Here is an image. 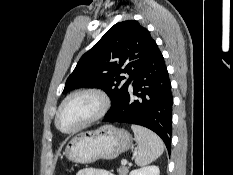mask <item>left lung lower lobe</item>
I'll return each instance as SVG.
<instances>
[{
    "label": "left lung lower lobe",
    "mask_w": 233,
    "mask_h": 175,
    "mask_svg": "<svg viewBox=\"0 0 233 175\" xmlns=\"http://www.w3.org/2000/svg\"><path fill=\"white\" fill-rule=\"evenodd\" d=\"M133 95L138 98L135 99ZM171 82L162 53L156 46L136 73L120 106L104 117V122L137 124L157 133L168 151L172 126Z\"/></svg>",
    "instance_id": "1"
}]
</instances>
